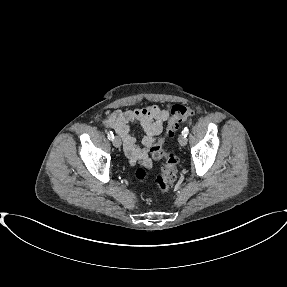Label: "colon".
Returning <instances> with one entry per match:
<instances>
[{"label":"colon","mask_w":287,"mask_h":287,"mask_svg":"<svg viewBox=\"0 0 287 287\" xmlns=\"http://www.w3.org/2000/svg\"><path fill=\"white\" fill-rule=\"evenodd\" d=\"M193 115V109L189 106L176 104L170 110V116L167 119V126L163 136L157 137L155 143L151 147V153L157 160H163L161 173L155 178L156 187L163 191H169L177 178L178 157L173 152H167L163 143L166 139L172 138L178 130L181 123L189 119ZM149 175L145 166L138 168L135 176L138 181L144 182Z\"/></svg>","instance_id":"1"}]
</instances>
